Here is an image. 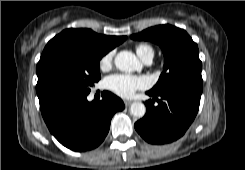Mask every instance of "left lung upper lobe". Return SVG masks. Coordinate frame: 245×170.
Masks as SVG:
<instances>
[{"label":"left lung upper lobe","mask_w":245,"mask_h":170,"mask_svg":"<svg viewBox=\"0 0 245 170\" xmlns=\"http://www.w3.org/2000/svg\"><path fill=\"white\" fill-rule=\"evenodd\" d=\"M131 38L150 40L158 44L163 51V72L149 92L159 93L177 86L202 91V63L198 47L185 30L171 25H159L131 35Z\"/></svg>","instance_id":"obj_1"}]
</instances>
